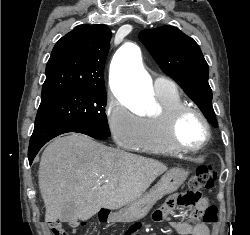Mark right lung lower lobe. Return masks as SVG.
Returning <instances> with one entry per match:
<instances>
[{
  "mask_svg": "<svg viewBox=\"0 0 250 235\" xmlns=\"http://www.w3.org/2000/svg\"><path fill=\"white\" fill-rule=\"evenodd\" d=\"M67 132H77L96 139H106L108 136L89 128L66 122H44L36 124L29 143L28 159L31 164L40 148L52 138Z\"/></svg>",
  "mask_w": 250,
  "mask_h": 235,
  "instance_id": "obj_1",
  "label": "right lung lower lobe"
}]
</instances>
